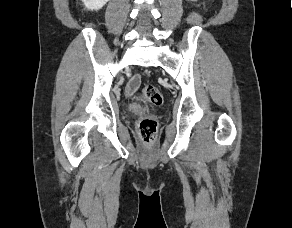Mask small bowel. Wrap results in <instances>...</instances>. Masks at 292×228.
Returning <instances> with one entry per match:
<instances>
[{"label": "small bowel", "instance_id": "c3829d8e", "mask_svg": "<svg viewBox=\"0 0 292 228\" xmlns=\"http://www.w3.org/2000/svg\"><path fill=\"white\" fill-rule=\"evenodd\" d=\"M140 84H141V75L140 74L134 75L130 79L129 83L127 84L125 88V93L127 95L133 94L139 88Z\"/></svg>", "mask_w": 292, "mask_h": 228}]
</instances>
